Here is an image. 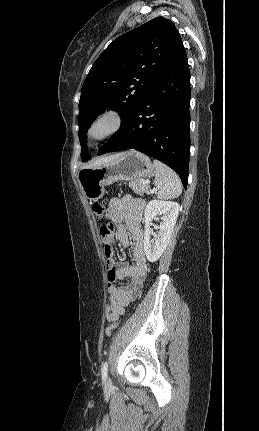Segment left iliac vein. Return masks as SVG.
<instances>
[{
	"label": "left iliac vein",
	"instance_id": "4c4485c4",
	"mask_svg": "<svg viewBox=\"0 0 259 431\" xmlns=\"http://www.w3.org/2000/svg\"><path fill=\"white\" fill-rule=\"evenodd\" d=\"M109 382H110V379H109V378H107V379H106V384H109Z\"/></svg>",
	"mask_w": 259,
	"mask_h": 431
}]
</instances>
